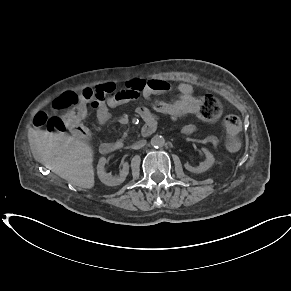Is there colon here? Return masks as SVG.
<instances>
[{"mask_svg":"<svg viewBox=\"0 0 291 291\" xmlns=\"http://www.w3.org/2000/svg\"><path fill=\"white\" fill-rule=\"evenodd\" d=\"M116 87L111 82L100 83L95 89L85 88L79 93L65 91L57 95L48 110L40 111L34 118L36 127H44L48 132L69 130L76 139L83 141L89 137V130L83 123L89 103L99 102L115 94ZM178 107H189L190 114H198L205 121H213L220 114L217 99L207 95L202 98H178ZM228 146L236 149L241 122L237 116L227 115L223 119Z\"/></svg>","mask_w":291,"mask_h":291,"instance_id":"5ec220e1","label":"colon"}]
</instances>
